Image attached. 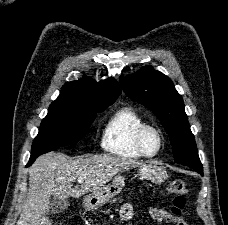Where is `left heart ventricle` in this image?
<instances>
[{"label": "left heart ventricle", "mask_w": 228, "mask_h": 225, "mask_svg": "<svg viewBox=\"0 0 228 225\" xmlns=\"http://www.w3.org/2000/svg\"><path fill=\"white\" fill-rule=\"evenodd\" d=\"M159 145L158 136L155 133H150L146 140L147 150L153 153L157 150Z\"/></svg>", "instance_id": "1"}]
</instances>
